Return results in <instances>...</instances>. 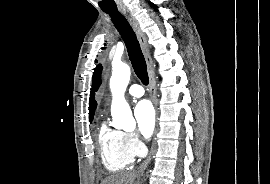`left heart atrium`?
<instances>
[{
  "label": "left heart atrium",
  "instance_id": "obj_1",
  "mask_svg": "<svg viewBox=\"0 0 270 184\" xmlns=\"http://www.w3.org/2000/svg\"><path fill=\"white\" fill-rule=\"evenodd\" d=\"M134 116L139 135L145 139L149 138L155 125V111L151 103L147 100L140 101L134 109Z\"/></svg>",
  "mask_w": 270,
  "mask_h": 184
}]
</instances>
